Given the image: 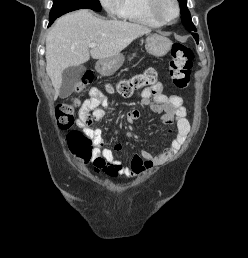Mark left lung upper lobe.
<instances>
[{
    "instance_id": "1",
    "label": "left lung upper lobe",
    "mask_w": 248,
    "mask_h": 258,
    "mask_svg": "<svg viewBox=\"0 0 248 258\" xmlns=\"http://www.w3.org/2000/svg\"><path fill=\"white\" fill-rule=\"evenodd\" d=\"M178 1L180 3L182 23L184 24V26L189 32L196 31V28L191 21L190 12L187 8V1L186 0H178Z\"/></svg>"
}]
</instances>
